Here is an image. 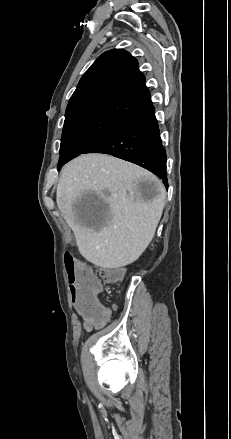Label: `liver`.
<instances>
[{
  "mask_svg": "<svg viewBox=\"0 0 231 439\" xmlns=\"http://www.w3.org/2000/svg\"><path fill=\"white\" fill-rule=\"evenodd\" d=\"M140 181L152 184L144 193ZM96 195L105 212L81 211L84 195ZM166 190L148 170L105 154L81 155L62 170L56 202L74 232L82 256L103 269L136 261L152 241L165 205Z\"/></svg>",
  "mask_w": 231,
  "mask_h": 439,
  "instance_id": "liver-1",
  "label": "liver"
}]
</instances>
